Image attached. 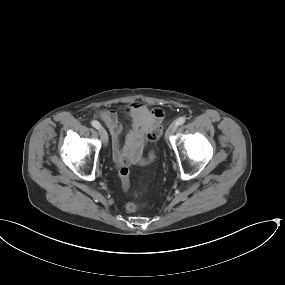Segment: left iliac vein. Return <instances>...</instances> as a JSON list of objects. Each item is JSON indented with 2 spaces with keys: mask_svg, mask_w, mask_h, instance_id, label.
I'll return each mask as SVG.
<instances>
[{
  "mask_svg": "<svg viewBox=\"0 0 285 285\" xmlns=\"http://www.w3.org/2000/svg\"><path fill=\"white\" fill-rule=\"evenodd\" d=\"M177 128H178V125L175 122L172 123L166 131V139H168L170 136H172L175 133V131L177 130Z\"/></svg>",
  "mask_w": 285,
  "mask_h": 285,
  "instance_id": "left-iliac-vein-1",
  "label": "left iliac vein"
}]
</instances>
